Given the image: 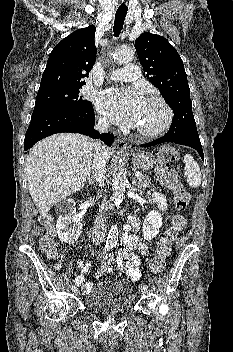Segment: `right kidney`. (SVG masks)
Listing matches in <instances>:
<instances>
[{"instance_id": "right-kidney-1", "label": "right kidney", "mask_w": 233, "mask_h": 352, "mask_svg": "<svg viewBox=\"0 0 233 352\" xmlns=\"http://www.w3.org/2000/svg\"><path fill=\"white\" fill-rule=\"evenodd\" d=\"M74 210L75 203L71 202L70 213L60 215L56 223L58 237L65 243L76 241L81 234L83 225L77 219Z\"/></svg>"}]
</instances>
